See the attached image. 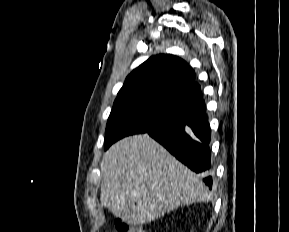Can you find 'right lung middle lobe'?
Masks as SVG:
<instances>
[{"mask_svg":"<svg viewBox=\"0 0 289 232\" xmlns=\"http://www.w3.org/2000/svg\"><path fill=\"white\" fill-rule=\"evenodd\" d=\"M182 113L145 99H116L107 122L105 150L125 136L148 132L177 119Z\"/></svg>","mask_w":289,"mask_h":232,"instance_id":"obj_1","label":"right lung middle lobe"}]
</instances>
